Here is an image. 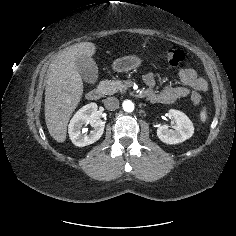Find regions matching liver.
Segmentation results:
<instances>
[{
    "instance_id": "obj_1",
    "label": "liver",
    "mask_w": 236,
    "mask_h": 236,
    "mask_svg": "<svg viewBox=\"0 0 236 236\" xmlns=\"http://www.w3.org/2000/svg\"><path fill=\"white\" fill-rule=\"evenodd\" d=\"M96 52L92 42H81L61 51L49 66L45 88V121L52 138L63 143L69 119L83 94V82L76 59Z\"/></svg>"
}]
</instances>
